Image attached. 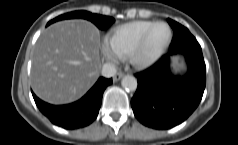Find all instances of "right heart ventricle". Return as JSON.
<instances>
[{
    "label": "right heart ventricle",
    "mask_w": 238,
    "mask_h": 145,
    "mask_svg": "<svg viewBox=\"0 0 238 145\" xmlns=\"http://www.w3.org/2000/svg\"><path fill=\"white\" fill-rule=\"evenodd\" d=\"M152 21H135L116 27L105 36V46L118 58H125L135 47Z\"/></svg>",
    "instance_id": "1"
}]
</instances>
